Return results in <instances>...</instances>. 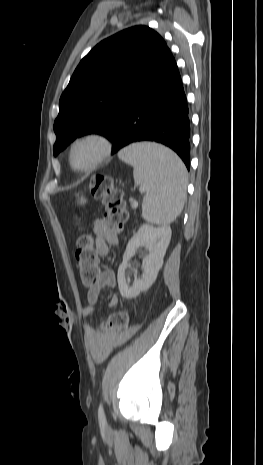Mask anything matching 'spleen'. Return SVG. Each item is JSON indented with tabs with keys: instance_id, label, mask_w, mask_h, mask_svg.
I'll return each mask as SVG.
<instances>
[{
	"instance_id": "3e777b00",
	"label": "spleen",
	"mask_w": 263,
	"mask_h": 465,
	"mask_svg": "<svg viewBox=\"0 0 263 465\" xmlns=\"http://www.w3.org/2000/svg\"><path fill=\"white\" fill-rule=\"evenodd\" d=\"M119 158L133 166L135 184L145 189L142 216L150 223L167 226L181 213L186 195L187 170L171 150L157 144H132Z\"/></svg>"
}]
</instances>
